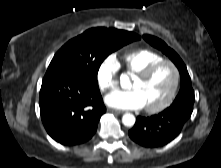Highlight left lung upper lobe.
Listing matches in <instances>:
<instances>
[{
    "mask_svg": "<svg viewBox=\"0 0 221 168\" xmlns=\"http://www.w3.org/2000/svg\"><path fill=\"white\" fill-rule=\"evenodd\" d=\"M143 38L152 46L156 47L157 49L161 50L164 54H166L178 68L181 77V85L179 94L177 95L175 100L184 97L194 98V91L191 86L190 76L188 74L184 62L181 60L179 55L170 47H168L166 43L159 38L150 35H144Z\"/></svg>",
    "mask_w": 221,
    "mask_h": 168,
    "instance_id": "1",
    "label": "left lung upper lobe"
}]
</instances>
